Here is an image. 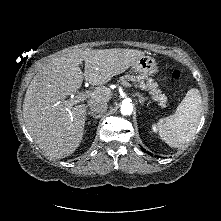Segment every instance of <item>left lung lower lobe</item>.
<instances>
[{"instance_id": "1", "label": "left lung lower lobe", "mask_w": 221, "mask_h": 221, "mask_svg": "<svg viewBox=\"0 0 221 221\" xmlns=\"http://www.w3.org/2000/svg\"><path fill=\"white\" fill-rule=\"evenodd\" d=\"M141 149H142V151H143V152L148 153V154H150V155H151V153H150V152L146 151V150H145V149H143V148H141Z\"/></svg>"}]
</instances>
